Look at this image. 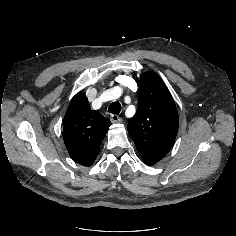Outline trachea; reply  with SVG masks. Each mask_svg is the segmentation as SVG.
<instances>
[{
    "mask_svg": "<svg viewBox=\"0 0 236 236\" xmlns=\"http://www.w3.org/2000/svg\"><path fill=\"white\" fill-rule=\"evenodd\" d=\"M109 113L119 114L121 111V105L119 102H113L108 108Z\"/></svg>",
    "mask_w": 236,
    "mask_h": 236,
    "instance_id": "trachea-1",
    "label": "trachea"
}]
</instances>
